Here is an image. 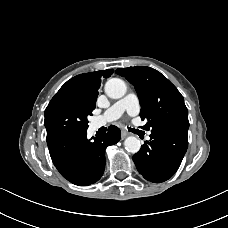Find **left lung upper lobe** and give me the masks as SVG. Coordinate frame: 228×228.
Returning <instances> with one entry per match:
<instances>
[{
	"instance_id": "1",
	"label": "left lung upper lobe",
	"mask_w": 228,
	"mask_h": 228,
	"mask_svg": "<svg viewBox=\"0 0 228 228\" xmlns=\"http://www.w3.org/2000/svg\"><path fill=\"white\" fill-rule=\"evenodd\" d=\"M115 72L135 87L142 107L140 117L147 120L144 127L187 133L189 121L184 98L163 74L146 66L119 68Z\"/></svg>"
}]
</instances>
